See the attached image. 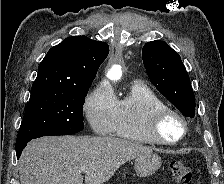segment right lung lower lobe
<instances>
[{"instance_id": "98d812e1", "label": "right lung lower lobe", "mask_w": 224, "mask_h": 184, "mask_svg": "<svg viewBox=\"0 0 224 184\" xmlns=\"http://www.w3.org/2000/svg\"><path fill=\"white\" fill-rule=\"evenodd\" d=\"M26 144H27V142L24 143V144H22V145L16 146V155H17V158L20 157L21 152L25 148Z\"/></svg>"}]
</instances>
